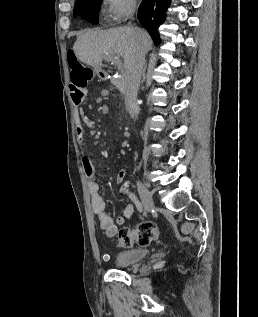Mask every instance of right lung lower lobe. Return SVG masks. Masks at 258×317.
<instances>
[{"instance_id": "right-lung-lower-lobe-1", "label": "right lung lower lobe", "mask_w": 258, "mask_h": 317, "mask_svg": "<svg viewBox=\"0 0 258 317\" xmlns=\"http://www.w3.org/2000/svg\"><path fill=\"white\" fill-rule=\"evenodd\" d=\"M169 5L170 0H143L139 7L138 19L151 35L155 45L160 43L157 29L164 22Z\"/></svg>"}]
</instances>
